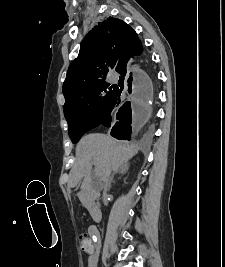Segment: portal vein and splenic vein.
I'll use <instances>...</instances> for the list:
<instances>
[{
  "label": "portal vein and splenic vein",
  "mask_w": 225,
  "mask_h": 267,
  "mask_svg": "<svg viewBox=\"0 0 225 267\" xmlns=\"http://www.w3.org/2000/svg\"><path fill=\"white\" fill-rule=\"evenodd\" d=\"M95 174H96V175L98 174L97 171H95Z\"/></svg>",
  "instance_id": "1"
}]
</instances>
